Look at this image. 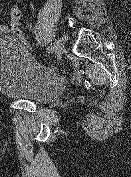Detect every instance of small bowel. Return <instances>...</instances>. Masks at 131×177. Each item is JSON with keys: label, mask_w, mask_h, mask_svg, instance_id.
Wrapping results in <instances>:
<instances>
[{"label": "small bowel", "mask_w": 131, "mask_h": 177, "mask_svg": "<svg viewBox=\"0 0 131 177\" xmlns=\"http://www.w3.org/2000/svg\"><path fill=\"white\" fill-rule=\"evenodd\" d=\"M23 0H17L18 3L22 2ZM10 34V30L8 25L6 24H0V36L8 35Z\"/></svg>", "instance_id": "1"}]
</instances>
